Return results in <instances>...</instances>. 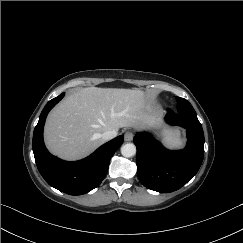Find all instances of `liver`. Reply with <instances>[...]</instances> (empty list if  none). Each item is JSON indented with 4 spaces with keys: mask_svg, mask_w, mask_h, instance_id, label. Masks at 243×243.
<instances>
[{
    "mask_svg": "<svg viewBox=\"0 0 243 243\" xmlns=\"http://www.w3.org/2000/svg\"><path fill=\"white\" fill-rule=\"evenodd\" d=\"M148 110V96L139 89L83 88L49 113L45 144L60 158L80 159L104 143L103 132L149 123Z\"/></svg>",
    "mask_w": 243,
    "mask_h": 243,
    "instance_id": "6515ba94",
    "label": "liver"
}]
</instances>
